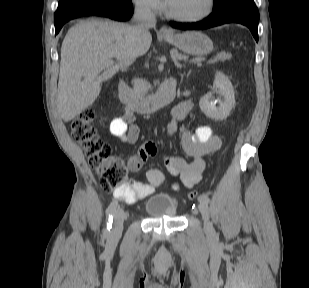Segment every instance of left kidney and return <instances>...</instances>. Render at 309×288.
<instances>
[{"label":"left kidney","instance_id":"1","mask_svg":"<svg viewBox=\"0 0 309 288\" xmlns=\"http://www.w3.org/2000/svg\"><path fill=\"white\" fill-rule=\"evenodd\" d=\"M213 87L215 91L222 97L219 99V106L216 107L215 102L212 100L213 93H207L204 95L199 102L200 109L208 117L215 120L226 119L235 105L234 88L231 81L227 76L221 72L215 74V79L213 82Z\"/></svg>","mask_w":309,"mask_h":288}]
</instances>
